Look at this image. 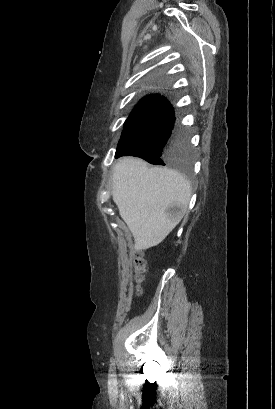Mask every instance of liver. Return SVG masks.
<instances>
[{"instance_id":"1","label":"liver","mask_w":275,"mask_h":409,"mask_svg":"<svg viewBox=\"0 0 275 409\" xmlns=\"http://www.w3.org/2000/svg\"><path fill=\"white\" fill-rule=\"evenodd\" d=\"M112 196L119 215L130 229L137 251L156 247L179 221L165 213L171 202L187 209L190 180L167 166H152L135 156L118 158L113 168Z\"/></svg>"}]
</instances>
